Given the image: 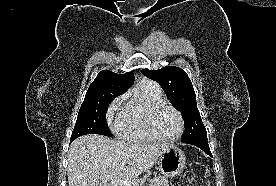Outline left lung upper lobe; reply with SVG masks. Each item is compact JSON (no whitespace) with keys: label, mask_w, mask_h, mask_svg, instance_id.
Listing matches in <instances>:
<instances>
[{"label":"left lung upper lobe","mask_w":276,"mask_h":186,"mask_svg":"<svg viewBox=\"0 0 276 186\" xmlns=\"http://www.w3.org/2000/svg\"><path fill=\"white\" fill-rule=\"evenodd\" d=\"M142 73L157 81L175 108L181 111L185 124V134L181 140L207 138L197 108L195 91L186 72L175 66H166L159 70L144 69Z\"/></svg>","instance_id":"left-lung-upper-lobe-1"}]
</instances>
